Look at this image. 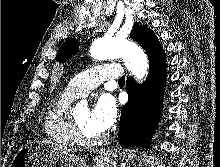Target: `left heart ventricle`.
Instances as JSON below:
<instances>
[{
  "mask_svg": "<svg viewBox=\"0 0 220 167\" xmlns=\"http://www.w3.org/2000/svg\"><path fill=\"white\" fill-rule=\"evenodd\" d=\"M76 117L82 135L87 139H96L103 135L95 129L90 121V110L86 106H79L75 108Z\"/></svg>",
  "mask_w": 220,
  "mask_h": 167,
  "instance_id": "obj_1",
  "label": "left heart ventricle"
}]
</instances>
